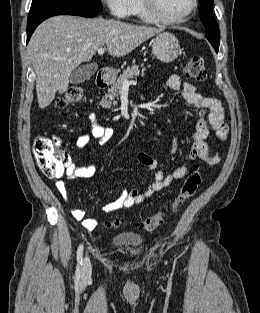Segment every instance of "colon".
<instances>
[{"label":"colon","instance_id":"5ec220e1","mask_svg":"<svg viewBox=\"0 0 260 313\" xmlns=\"http://www.w3.org/2000/svg\"><path fill=\"white\" fill-rule=\"evenodd\" d=\"M187 78L204 81L207 72L202 57H192L184 69ZM83 98V91L78 86L68 89L64 96L56 101L59 109L79 103ZM59 140L47 136H38L33 144V153L40 171L48 178L57 179L63 175L69 164V158L65 151L59 146ZM202 182L201 171L199 168L192 169L187 175L180 192L171 203V210H176L185 201L190 199L197 191ZM163 222L162 212H156L152 216L140 222V226L146 231H153ZM121 220L118 218L104 222L107 228H117Z\"/></svg>","mask_w":260,"mask_h":313}]
</instances>
